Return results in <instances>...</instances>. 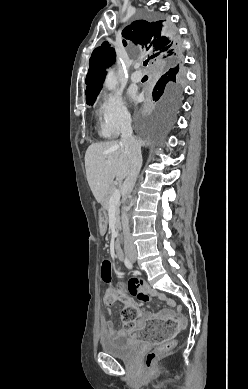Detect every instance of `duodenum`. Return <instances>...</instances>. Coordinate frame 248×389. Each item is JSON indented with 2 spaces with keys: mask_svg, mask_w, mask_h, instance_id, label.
<instances>
[{
  "mask_svg": "<svg viewBox=\"0 0 248 389\" xmlns=\"http://www.w3.org/2000/svg\"><path fill=\"white\" fill-rule=\"evenodd\" d=\"M115 254L119 260H122L124 258V253L119 240H117V242L115 243Z\"/></svg>",
  "mask_w": 248,
  "mask_h": 389,
  "instance_id": "1",
  "label": "duodenum"
}]
</instances>
